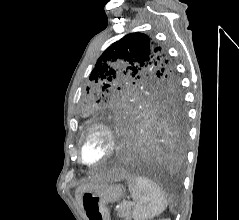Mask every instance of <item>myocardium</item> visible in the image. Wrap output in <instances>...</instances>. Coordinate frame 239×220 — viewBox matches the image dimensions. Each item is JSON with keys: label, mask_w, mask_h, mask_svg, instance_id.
Segmentation results:
<instances>
[{"label": "myocardium", "mask_w": 239, "mask_h": 220, "mask_svg": "<svg viewBox=\"0 0 239 220\" xmlns=\"http://www.w3.org/2000/svg\"><path fill=\"white\" fill-rule=\"evenodd\" d=\"M94 133H100L105 137L106 150L98 160L88 162L83 158V147L86 140ZM116 146H117L116 137L111 127L100 122L93 123L84 131V133L80 138L79 156H78L79 161L86 166H96L107 160L114 153Z\"/></svg>", "instance_id": "f54148a6"}]
</instances>
